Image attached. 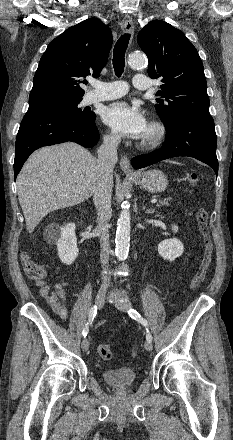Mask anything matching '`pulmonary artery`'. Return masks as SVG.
Masks as SVG:
<instances>
[{
  "instance_id": "pulmonary-artery-1",
  "label": "pulmonary artery",
  "mask_w": 233,
  "mask_h": 440,
  "mask_svg": "<svg viewBox=\"0 0 233 440\" xmlns=\"http://www.w3.org/2000/svg\"><path fill=\"white\" fill-rule=\"evenodd\" d=\"M132 82L136 89H149V83L145 75H135ZM95 87L96 89L90 91L87 95L86 99L88 103L117 99L124 96L128 92V86L123 81L98 82L95 83Z\"/></svg>"
}]
</instances>
